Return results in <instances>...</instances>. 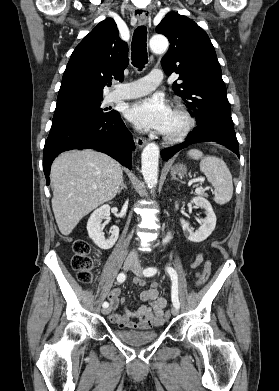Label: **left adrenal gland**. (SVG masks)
Segmentation results:
<instances>
[{"label": "left adrenal gland", "instance_id": "a2214340", "mask_svg": "<svg viewBox=\"0 0 279 391\" xmlns=\"http://www.w3.org/2000/svg\"><path fill=\"white\" fill-rule=\"evenodd\" d=\"M171 180H177V181H179V182H182L181 180H179L178 178H176V176H175L174 173H172Z\"/></svg>", "mask_w": 279, "mask_h": 391}]
</instances>
